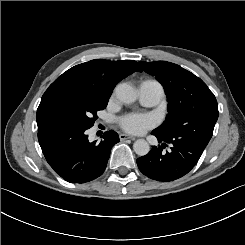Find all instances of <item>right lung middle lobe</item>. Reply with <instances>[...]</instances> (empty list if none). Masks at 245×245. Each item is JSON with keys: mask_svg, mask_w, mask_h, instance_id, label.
I'll list each match as a JSON object with an SVG mask.
<instances>
[{"mask_svg": "<svg viewBox=\"0 0 245 245\" xmlns=\"http://www.w3.org/2000/svg\"><path fill=\"white\" fill-rule=\"evenodd\" d=\"M109 97L90 89L58 86L37 110L38 130L56 127L89 129L97 119V111L106 108Z\"/></svg>", "mask_w": 245, "mask_h": 245, "instance_id": "obj_1", "label": "right lung middle lobe"}]
</instances>
